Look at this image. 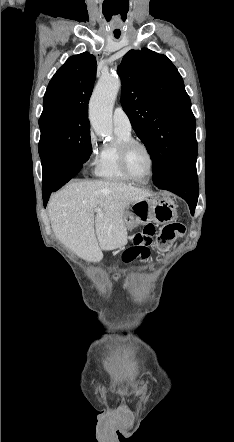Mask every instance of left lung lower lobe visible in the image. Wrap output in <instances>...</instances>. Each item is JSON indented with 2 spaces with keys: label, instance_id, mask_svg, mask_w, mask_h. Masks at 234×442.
I'll list each match as a JSON object with an SVG mask.
<instances>
[{
  "label": "left lung lower lobe",
  "instance_id": "0a47b994",
  "mask_svg": "<svg viewBox=\"0 0 234 442\" xmlns=\"http://www.w3.org/2000/svg\"><path fill=\"white\" fill-rule=\"evenodd\" d=\"M196 160L197 142L184 152L172 172L156 186L182 197L189 204L192 215L198 200Z\"/></svg>",
  "mask_w": 234,
  "mask_h": 442
}]
</instances>
